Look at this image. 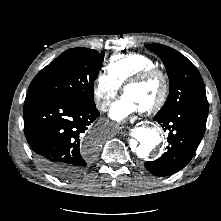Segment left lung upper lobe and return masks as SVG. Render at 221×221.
Here are the masks:
<instances>
[{
    "label": "left lung upper lobe",
    "instance_id": "obj_1",
    "mask_svg": "<svg viewBox=\"0 0 221 221\" xmlns=\"http://www.w3.org/2000/svg\"><path fill=\"white\" fill-rule=\"evenodd\" d=\"M146 48L161 58L169 76V96L158 114L174 111L188 104L208 108L202 77L185 56L161 44H148Z\"/></svg>",
    "mask_w": 221,
    "mask_h": 221
}]
</instances>
